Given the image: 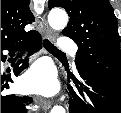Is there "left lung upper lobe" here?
I'll list each match as a JSON object with an SVG mask.
<instances>
[{
  "label": "left lung upper lobe",
  "instance_id": "obj_1",
  "mask_svg": "<svg viewBox=\"0 0 121 113\" xmlns=\"http://www.w3.org/2000/svg\"><path fill=\"white\" fill-rule=\"evenodd\" d=\"M70 16L63 30L79 47L76 66L103 77L121 90V54L117 20L108 0H49Z\"/></svg>",
  "mask_w": 121,
  "mask_h": 113
}]
</instances>
